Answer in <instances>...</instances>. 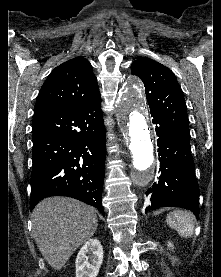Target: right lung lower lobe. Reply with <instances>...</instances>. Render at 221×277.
Instances as JSON below:
<instances>
[{
	"instance_id": "right-lung-lower-lobe-1",
	"label": "right lung lower lobe",
	"mask_w": 221,
	"mask_h": 277,
	"mask_svg": "<svg viewBox=\"0 0 221 277\" xmlns=\"http://www.w3.org/2000/svg\"><path fill=\"white\" fill-rule=\"evenodd\" d=\"M105 155L101 98L75 108L35 112L30 210L45 197L61 195L92 205L105 216Z\"/></svg>"
}]
</instances>
